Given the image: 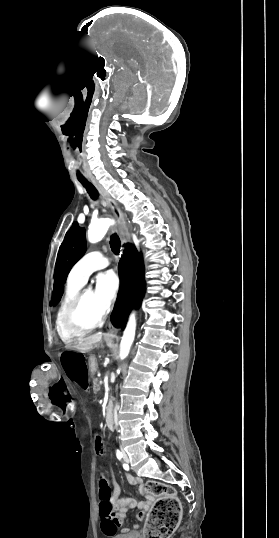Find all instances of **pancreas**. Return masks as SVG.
Listing matches in <instances>:
<instances>
[{
	"label": "pancreas",
	"instance_id": "cf45deb5",
	"mask_svg": "<svg viewBox=\"0 0 279 538\" xmlns=\"http://www.w3.org/2000/svg\"><path fill=\"white\" fill-rule=\"evenodd\" d=\"M93 380L95 382V384L93 386V390H94V392H99L100 388H99V384H97L98 378H93Z\"/></svg>",
	"mask_w": 279,
	"mask_h": 538
}]
</instances>
